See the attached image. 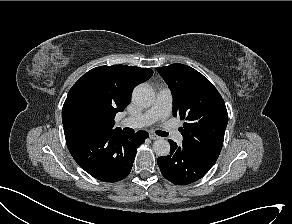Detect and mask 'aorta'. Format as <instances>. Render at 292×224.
Returning <instances> with one entry per match:
<instances>
[{
    "label": "aorta",
    "mask_w": 292,
    "mask_h": 224,
    "mask_svg": "<svg viewBox=\"0 0 292 224\" xmlns=\"http://www.w3.org/2000/svg\"><path fill=\"white\" fill-rule=\"evenodd\" d=\"M133 102L140 107H149L154 101L153 90L144 84H140L132 92ZM153 150L158 156H167L170 152V144L167 140L160 138L153 144Z\"/></svg>",
    "instance_id": "obj_1"
}]
</instances>
